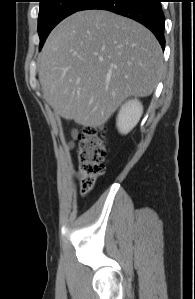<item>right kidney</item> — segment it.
<instances>
[{
	"label": "right kidney",
	"mask_w": 195,
	"mask_h": 299,
	"mask_svg": "<svg viewBox=\"0 0 195 299\" xmlns=\"http://www.w3.org/2000/svg\"><path fill=\"white\" fill-rule=\"evenodd\" d=\"M143 113V106L138 100L125 103L117 116V128L120 133H129L139 122Z\"/></svg>",
	"instance_id": "1"
}]
</instances>
